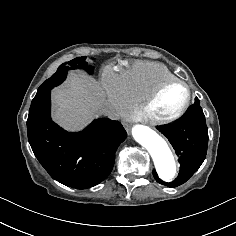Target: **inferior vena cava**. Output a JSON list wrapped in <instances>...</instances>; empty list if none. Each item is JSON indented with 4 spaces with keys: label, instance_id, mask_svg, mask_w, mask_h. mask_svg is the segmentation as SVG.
Here are the masks:
<instances>
[{
    "label": "inferior vena cava",
    "instance_id": "obj_1",
    "mask_svg": "<svg viewBox=\"0 0 236 236\" xmlns=\"http://www.w3.org/2000/svg\"><path fill=\"white\" fill-rule=\"evenodd\" d=\"M96 112H100L103 116H107L110 119H114V112L112 111V109L106 107V106H99L96 108Z\"/></svg>",
    "mask_w": 236,
    "mask_h": 236
}]
</instances>
